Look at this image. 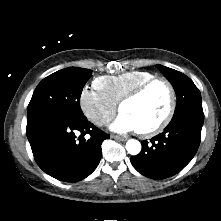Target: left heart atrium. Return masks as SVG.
<instances>
[{"instance_id":"obj_1","label":"left heart atrium","mask_w":221,"mask_h":221,"mask_svg":"<svg viewBox=\"0 0 221 221\" xmlns=\"http://www.w3.org/2000/svg\"><path fill=\"white\" fill-rule=\"evenodd\" d=\"M111 129L119 133H128L139 130L135 120L130 115L122 112L111 125Z\"/></svg>"}]
</instances>
